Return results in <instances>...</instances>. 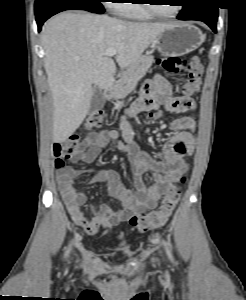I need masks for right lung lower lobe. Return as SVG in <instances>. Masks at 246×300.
Returning a JSON list of instances; mask_svg holds the SVG:
<instances>
[{
	"instance_id": "right-lung-lower-lobe-1",
	"label": "right lung lower lobe",
	"mask_w": 246,
	"mask_h": 300,
	"mask_svg": "<svg viewBox=\"0 0 246 300\" xmlns=\"http://www.w3.org/2000/svg\"><path fill=\"white\" fill-rule=\"evenodd\" d=\"M71 9L86 10L89 12L101 14V12L91 8L81 0H53L35 9L38 30L40 31L43 23L54 14Z\"/></svg>"
}]
</instances>
